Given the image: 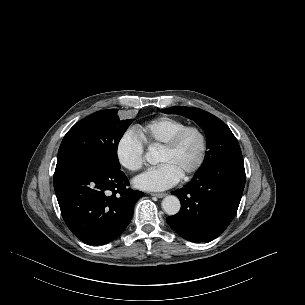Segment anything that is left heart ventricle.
I'll return each mask as SVG.
<instances>
[{
  "instance_id": "obj_1",
  "label": "left heart ventricle",
  "mask_w": 305,
  "mask_h": 305,
  "mask_svg": "<svg viewBox=\"0 0 305 305\" xmlns=\"http://www.w3.org/2000/svg\"><path fill=\"white\" fill-rule=\"evenodd\" d=\"M200 150L201 142L199 136L194 132H190L174 150H160L158 162L170 163L182 175H185L197 163Z\"/></svg>"
}]
</instances>
